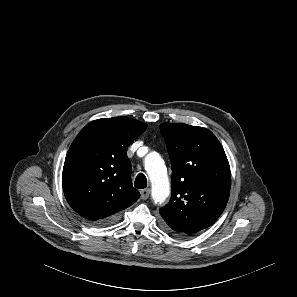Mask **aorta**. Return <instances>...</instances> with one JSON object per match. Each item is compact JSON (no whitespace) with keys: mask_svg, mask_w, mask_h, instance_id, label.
I'll return each instance as SVG.
<instances>
[{"mask_svg":"<svg viewBox=\"0 0 297 297\" xmlns=\"http://www.w3.org/2000/svg\"><path fill=\"white\" fill-rule=\"evenodd\" d=\"M151 182L152 198L155 203H163L170 194V183L163 159L157 153H150L144 162Z\"/></svg>","mask_w":297,"mask_h":297,"instance_id":"762f6f07","label":"aorta"}]
</instances>
